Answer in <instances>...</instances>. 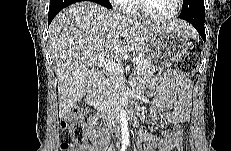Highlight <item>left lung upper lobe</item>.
I'll use <instances>...</instances> for the list:
<instances>
[{
    "label": "left lung upper lobe",
    "mask_w": 231,
    "mask_h": 151,
    "mask_svg": "<svg viewBox=\"0 0 231 151\" xmlns=\"http://www.w3.org/2000/svg\"><path fill=\"white\" fill-rule=\"evenodd\" d=\"M198 2H204V0H183L182 12H187L193 4Z\"/></svg>",
    "instance_id": "5c2ea615"
}]
</instances>
